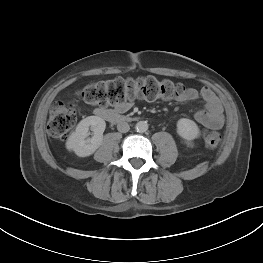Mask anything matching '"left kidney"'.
<instances>
[{
  "label": "left kidney",
  "instance_id": "1",
  "mask_svg": "<svg viewBox=\"0 0 263 263\" xmlns=\"http://www.w3.org/2000/svg\"><path fill=\"white\" fill-rule=\"evenodd\" d=\"M177 133L187 142H191L199 136V128L194 121L181 118L177 122Z\"/></svg>",
  "mask_w": 263,
  "mask_h": 263
}]
</instances>
